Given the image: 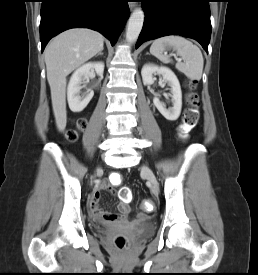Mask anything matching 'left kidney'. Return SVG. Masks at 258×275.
I'll return each instance as SVG.
<instances>
[{
  "instance_id": "obj_1",
  "label": "left kidney",
  "mask_w": 258,
  "mask_h": 275,
  "mask_svg": "<svg viewBox=\"0 0 258 275\" xmlns=\"http://www.w3.org/2000/svg\"><path fill=\"white\" fill-rule=\"evenodd\" d=\"M159 74L162 76L163 81L168 83L171 87V102L172 107L166 108L165 104L159 100L158 97H154L153 103L158 111L169 121H175L178 119L182 108V92L180 83L174 74V72L168 67L157 66L153 64H146L141 70L142 80L145 85L153 84V75Z\"/></svg>"
}]
</instances>
